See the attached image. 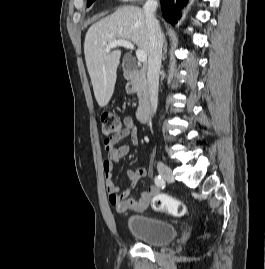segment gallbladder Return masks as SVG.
Instances as JSON below:
<instances>
[{
    "label": "gallbladder",
    "mask_w": 265,
    "mask_h": 269,
    "mask_svg": "<svg viewBox=\"0 0 265 269\" xmlns=\"http://www.w3.org/2000/svg\"><path fill=\"white\" fill-rule=\"evenodd\" d=\"M123 68L125 70H131L133 68L132 64L130 63H124Z\"/></svg>",
    "instance_id": "bac80fb5"
}]
</instances>
